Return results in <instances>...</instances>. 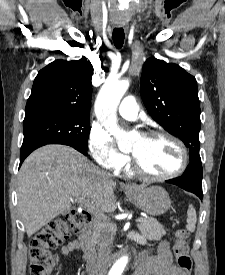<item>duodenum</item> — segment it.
I'll use <instances>...</instances> for the list:
<instances>
[{
  "mask_svg": "<svg viewBox=\"0 0 225 275\" xmlns=\"http://www.w3.org/2000/svg\"><path fill=\"white\" fill-rule=\"evenodd\" d=\"M94 231L92 217L80 228L78 235L79 251L85 262L86 268L90 271L97 267V256L94 253L91 237Z\"/></svg>",
  "mask_w": 225,
  "mask_h": 275,
  "instance_id": "1",
  "label": "duodenum"
}]
</instances>
